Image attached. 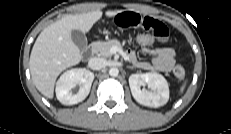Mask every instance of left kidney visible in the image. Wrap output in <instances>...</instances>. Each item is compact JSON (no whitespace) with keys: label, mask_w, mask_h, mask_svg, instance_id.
<instances>
[{"label":"left kidney","mask_w":231,"mask_h":134,"mask_svg":"<svg viewBox=\"0 0 231 134\" xmlns=\"http://www.w3.org/2000/svg\"><path fill=\"white\" fill-rule=\"evenodd\" d=\"M147 85L150 91L141 89ZM129 86L132 96L141 105L149 107H160L165 105L169 99V87L166 79L158 73L132 74L129 77Z\"/></svg>","instance_id":"left-kidney-1"}]
</instances>
